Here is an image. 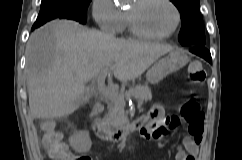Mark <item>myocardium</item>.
Instances as JSON below:
<instances>
[{
	"mask_svg": "<svg viewBox=\"0 0 242 160\" xmlns=\"http://www.w3.org/2000/svg\"><path fill=\"white\" fill-rule=\"evenodd\" d=\"M138 1L140 3L146 2V0H138ZM164 1L171 6V8L174 10L175 15H176L175 25L171 29V31H169L168 33H165V34H150L146 31H144L139 26L134 14L127 11L126 17H127L128 25H129L131 32L135 36L142 38V39H146V40H163V39L170 38L171 36H173L176 33V31L178 30V28L181 24V12L173 0H164Z\"/></svg>",
	"mask_w": 242,
	"mask_h": 160,
	"instance_id": "obj_1",
	"label": "myocardium"
}]
</instances>
